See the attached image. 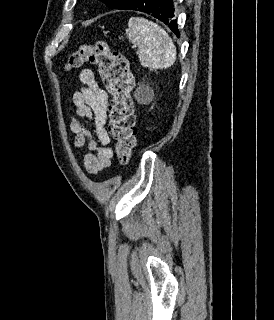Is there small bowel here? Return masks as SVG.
<instances>
[{"instance_id": "obj_1", "label": "small bowel", "mask_w": 274, "mask_h": 320, "mask_svg": "<svg viewBox=\"0 0 274 320\" xmlns=\"http://www.w3.org/2000/svg\"><path fill=\"white\" fill-rule=\"evenodd\" d=\"M79 78L81 88L73 95L77 118H69V128L75 134L73 146L79 150L83 167L90 174H96L109 167L114 156V150L110 146V136L105 127L108 118L109 96L99 86L92 69H83ZM92 117L97 140L93 138L92 131L86 125ZM86 142H88V151L82 154L81 149Z\"/></svg>"}]
</instances>
